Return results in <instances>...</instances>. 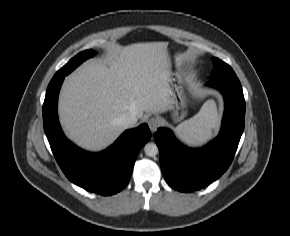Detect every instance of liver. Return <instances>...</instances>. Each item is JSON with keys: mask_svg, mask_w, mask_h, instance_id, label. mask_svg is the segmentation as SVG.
Wrapping results in <instances>:
<instances>
[{"mask_svg": "<svg viewBox=\"0 0 290 236\" xmlns=\"http://www.w3.org/2000/svg\"><path fill=\"white\" fill-rule=\"evenodd\" d=\"M167 42L117 47L104 60L84 63L70 74L59 97L60 123L67 137L89 151H101L124 131L122 115L168 110L170 60Z\"/></svg>", "mask_w": 290, "mask_h": 236, "instance_id": "6515ba94", "label": "liver"}]
</instances>
